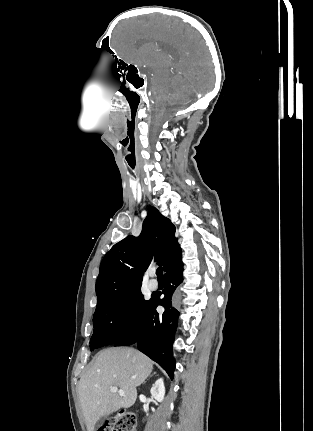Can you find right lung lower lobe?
Listing matches in <instances>:
<instances>
[{
	"instance_id": "right-lung-lower-lobe-1",
	"label": "right lung lower lobe",
	"mask_w": 313,
	"mask_h": 431,
	"mask_svg": "<svg viewBox=\"0 0 313 431\" xmlns=\"http://www.w3.org/2000/svg\"><path fill=\"white\" fill-rule=\"evenodd\" d=\"M183 262L181 252L166 269L164 275L165 289L163 299L152 295L143 310L138 323L123 337L113 343L114 346H125L137 343L138 349L157 362L173 378L175 360L172 352V342L177 328L179 312L172 305V296L182 283ZM165 308L163 314H158L156 307Z\"/></svg>"
}]
</instances>
